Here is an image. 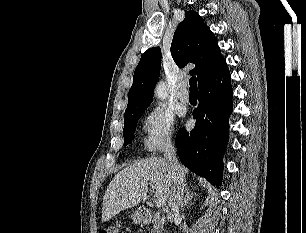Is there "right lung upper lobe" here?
I'll return each mask as SVG.
<instances>
[{"mask_svg": "<svg viewBox=\"0 0 306 233\" xmlns=\"http://www.w3.org/2000/svg\"><path fill=\"white\" fill-rule=\"evenodd\" d=\"M171 55L180 68L188 63L195 64L190 74L197 75L198 86L227 67L217 39L194 11L186 12L185 19L178 25L171 44ZM160 65L159 47L150 48L142 55L134 72L124 117L147 108L152 102Z\"/></svg>", "mask_w": 306, "mask_h": 233, "instance_id": "1", "label": "right lung upper lobe"}]
</instances>
